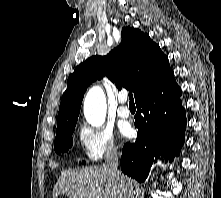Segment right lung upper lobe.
<instances>
[{
  "label": "right lung upper lobe",
  "mask_w": 221,
  "mask_h": 198,
  "mask_svg": "<svg viewBox=\"0 0 221 198\" xmlns=\"http://www.w3.org/2000/svg\"><path fill=\"white\" fill-rule=\"evenodd\" d=\"M121 36L119 46L106 56L90 57L70 74L61 98L56 133L76 126L84 93L97 79L106 75L118 89L133 91L137 100L171 70L168 58L148 34L124 27Z\"/></svg>",
  "instance_id": "obj_1"
}]
</instances>
